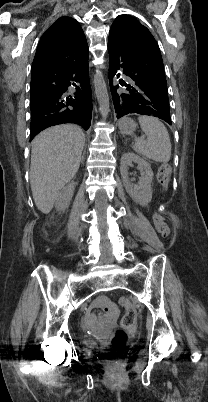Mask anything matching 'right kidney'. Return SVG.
Masks as SVG:
<instances>
[{"label": "right kidney", "instance_id": "obj_1", "mask_svg": "<svg viewBox=\"0 0 208 402\" xmlns=\"http://www.w3.org/2000/svg\"><path fill=\"white\" fill-rule=\"evenodd\" d=\"M75 186H76L75 182H70V184H67V186H65V188L61 190L55 202V208L57 212H63V210H66V208L70 206Z\"/></svg>", "mask_w": 208, "mask_h": 402}]
</instances>
